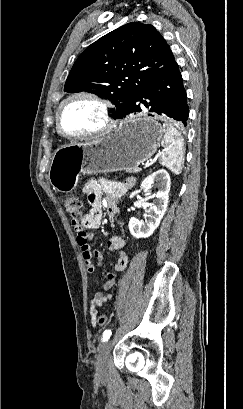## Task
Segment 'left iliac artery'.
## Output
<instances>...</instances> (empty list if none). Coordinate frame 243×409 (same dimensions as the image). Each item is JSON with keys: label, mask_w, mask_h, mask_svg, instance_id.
Listing matches in <instances>:
<instances>
[{"label": "left iliac artery", "mask_w": 243, "mask_h": 409, "mask_svg": "<svg viewBox=\"0 0 243 409\" xmlns=\"http://www.w3.org/2000/svg\"><path fill=\"white\" fill-rule=\"evenodd\" d=\"M111 330H106V331H104V333H103V336H102V341L103 342H106V341H108V339L110 338V336H111Z\"/></svg>", "instance_id": "44dca946"}]
</instances>
